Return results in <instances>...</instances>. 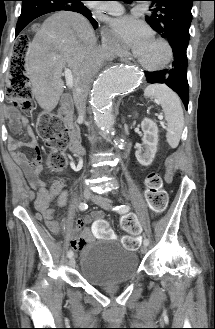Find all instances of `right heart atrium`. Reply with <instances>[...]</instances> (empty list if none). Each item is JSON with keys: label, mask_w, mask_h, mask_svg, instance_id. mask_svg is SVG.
I'll use <instances>...</instances> for the list:
<instances>
[{"label": "right heart atrium", "mask_w": 215, "mask_h": 329, "mask_svg": "<svg viewBox=\"0 0 215 329\" xmlns=\"http://www.w3.org/2000/svg\"><path fill=\"white\" fill-rule=\"evenodd\" d=\"M104 41L111 47L119 50L118 43L116 42L112 32L109 29H104L102 32ZM120 51V50H119Z\"/></svg>", "instance_id": "d8ad5b80"}]
</instances>
